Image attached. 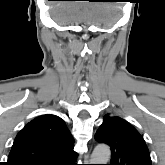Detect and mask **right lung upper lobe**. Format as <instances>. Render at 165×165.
I'll return each mask as SVG.
<instances>
[{"label": "right lung upper lobe", "instance_id": "right-lung-upper-lobe-1", "mask_svg": "<svg viewBox=\"0 0 165 165\" xmlns=\"http://www.w3.org/2000/svg\"><path fill=\"white\" fill-rule=\"evenodd\" d=\"M74 139L63 119L46 114L29 122L16 136L7 165H52L73 151Z\"/></svg>", "mask_w": 165, "mask_h": 165}]
</instances>
